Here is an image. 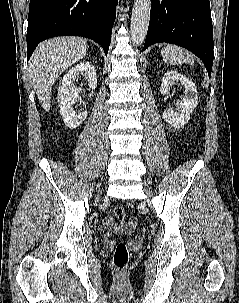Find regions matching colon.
I'll return each mask as SVG.
<instances>
[{
  "mask_svg": "<svg viewBox=\"0 0 239 303\" xmlns=\"http://www.w3.org/2000/svg\"><path fill=\"white\" fill-rule=\"evenodd\" d=\"M113 214L117 220L124 223L126 218L125 209L121 206H116L113 210ZM129 261L128 247L124 242H119L113 253V264L117 270H124Z\"/></svg>",
  "mask_w": 239,
  "mask_h": 303,
  "instance_id": "obj_1",
  "label": "colon"
}]
</instances>
